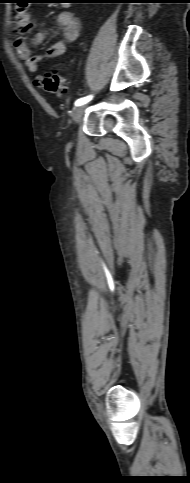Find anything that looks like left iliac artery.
<instances>
[{
  "mask_svg": "<svg viewBox=\"0 0 190 483\" xmlns=\"http://www.w3.org/2000/svg\"><path fill=\"white\" fill-rule=\"evenodd\" d=\"M92 97H93L92 95H89V96H86V97H83V98L76 100L75 106H80V105L88 103L92 99Z\"/></svg>",
  "mask_w": 190,
  "mask_h": 483,
  "instance_id": "obj_1",
  "label": "left iliac artery"
}]
</instances>
